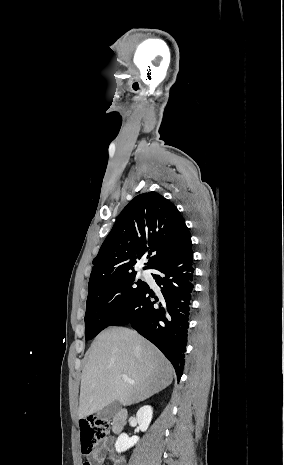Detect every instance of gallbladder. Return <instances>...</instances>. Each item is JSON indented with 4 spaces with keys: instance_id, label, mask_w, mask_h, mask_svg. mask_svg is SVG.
<instances>
[{
    "instance_id": "1",
    "label": "gallbladder",
    "mask_w": 284,
    "mask_h": 465,
    "mask_svg": "<svg viewBox=\"0 0 284 465\" xmlns=\"http://www.w3.org/2000/svg\"><path fill=\"white\" fill-rule=\"evenodd\" d=\"M121 403L120 401H113L108 407L99 411L97 417L98 419H104V421H109L112 417H115L116 413L120 411Z\"/></svg>"
}]
</instances>
